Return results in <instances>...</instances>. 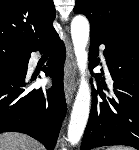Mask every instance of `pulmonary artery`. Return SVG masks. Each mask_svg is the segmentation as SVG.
Returning <instances> with one entry per match:
<instances>
[{
  "label": "pulmonary artery",
  "instance_id": "1",
  "mask_svg": "<svg viewBox=\"0 0 139 150\" xmlns=\"http://www.w3.org/2000/svg\"><path fill=\"white\" fill-rule=\"evenodd\" d=\"M100 56H101V59H102L103 63L105 64V69L107 70L106 63H105V57L103 55V49H102V47L100 48Z\"/></svg>",
  "mask_w": 139,
  "mask_h": 150
}]
</instances>
